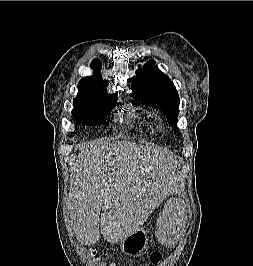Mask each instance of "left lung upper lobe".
I'll list each match as a JSON object with an SVG mask.
<instances>
[{
  "label": "left lung upper lobe",
  "mask_w": 253,
  "mask_h": 266,
  "mask_svg": "<svg viewBox=\"0 0 253 266\" xmlns=\"http://www.w3.org/2000/svg\"><path fill=\"white\" fill-rule=\"evenodd\" d=\"M136 74L127 80L133 90L131 96L137 102L161 110L170 126L176 127L180 99L169 77L157 68L153 60L146 62L143 70L139 68Z\"/></svg>",
  "instance_id": "left-lung-upper-lobe-1"
}]
</instances>
